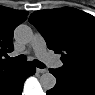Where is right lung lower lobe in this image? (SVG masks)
Here are the masks:
<instances>
[{
	"mask_svg": "<svg viewBox=\"0 0 95 95\" xmlns=\"http://www.w3.org/2000/svg\"><path fill=\"white\" fill-rule=\"evenodd\" d=\"M35 72L31 62L23 63L17 73L0 85V95H21L24 81Z\"/></svg>",
	"mask_w": 95,
	"mask_h": 95,
	"instance_id": "98d812e1",
	"label": "right lung lower lobe"
}]
</instances>
